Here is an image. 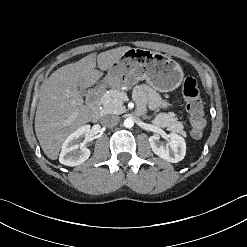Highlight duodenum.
Returning <instances> with one entry per match:
<instances>
[{
  "mask_svg": "<svg viewBox=\"0 0 247 247\" xmlns=\"http://www.w3.org/2000/svg\"><path fill=\"white\" fill-rule=\"evenodd\" d=\"M103 95L102 87H95L91 90L88 96V104L95 110V117L97 118L100 115V111L98 109L99 101Z\"/></svg>",
  "mask_w": 247,
  "mask_h": 247,
  "instance_id": "1",
  "label": "duodenum"
}]
</instances>
